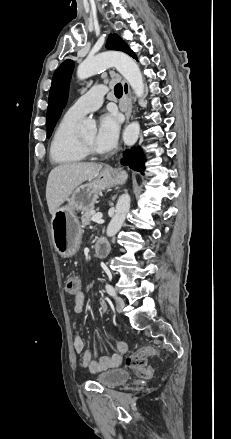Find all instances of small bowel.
<instances>
[{
    "label": "small bowel",
    "mask_w": 231,
    "mask_h": 439,
    "mask_svg": "<svg viewBox=\"0 0 231 439\" xmlns=\"http://www.w3.org/2000/svg\"><path fill=\"white\" fill-rule=\"evenodd\" d=\"M78 296L74 298L75 306L74 312L76 315L81 317L83 315V304L87 297L86 289H79ZM107 311V304L105 300L100 299L98 302V312L103 314ZM73 329L76 331L74 336V349L77 354L80 355L79 364L84 369H89L91 372H99L112 367H117L122 364L123 355L127 351L126 343L122 341L116 342V353L112 356H100L94 358L91 351L85 348V344L81 336L77 333V323H73Z\"/></svg>",
    "instance_id": "c3829d8e"
}]
</instances>
